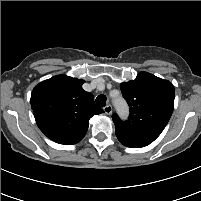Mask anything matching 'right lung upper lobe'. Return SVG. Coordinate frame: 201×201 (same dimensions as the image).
Here are the masks:
<instances>
[{
  "label": "right lung upper lobe",
  "instance_id": "1",
  "mask_svg": "<svg viewBox=\"0 0 201 201\" xmlns=\"http://www.w3.org/2000/svg\"><path fill=\"white\" fill-rule=\"evenodd\" d=\"M84 80L58 75L39 83L31 94V107L40 130L52 141L71 145L85 136L89 119L103 113Z\"/></svg>",
  "mask_w": 201,
  "mask_h": 201
}]
</instances>
